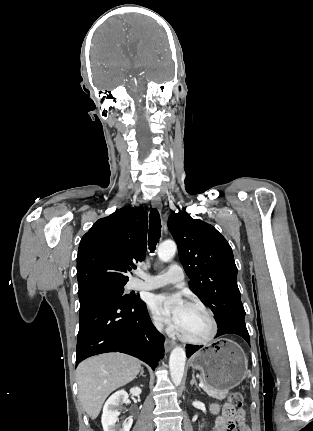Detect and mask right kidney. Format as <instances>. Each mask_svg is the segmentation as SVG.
Segmentation results:
<instances>
[{
  "label": "right kidney",
  "instance_id": "obj_1",
  "mask_svg": "<svg viewBox=\"0 0 313 431\" xmlns=\"http://www.w3.org/2000/svg\"><path fill=\"white\" fill-rule=\"evenodd\" d=\"M142 390L139 387L130 389L133 396H139ZM128 402V393L125 390H119L112 394L103 407L101 418L104 431H130L133 423V418L130 416L122 426L116 424L120 414L119 408L123 403Z\"/></svg>",
  "mask_w": 313,
  "mask_h": 431
}]
</instances>
